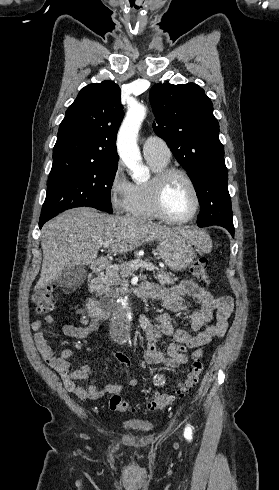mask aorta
Returning <instances> with one entry per match:
<instances>
[{
    "label": "aorta",
    "mask_w": 279,
    "mask_h": 490,
    "mask_svg": "<svg viewBox=\"0 0 279 490\" xmlns=\"http://www.w3.org/2000/svg\"><path fill=\"white\" fill-rule=\"evenodd\" d=\"M146 115V108L133 103L121 124L117 135V150L125 165L133 172L135 178H142L146 167L141 162V154L137 145V136L142 121ZM110 328L112 336L121 343L129 340L133 314L128 298L119 297L114 302L111 312Z\"/></svg>",
    "instance_id": "aorta-1"
}]
</instances>
